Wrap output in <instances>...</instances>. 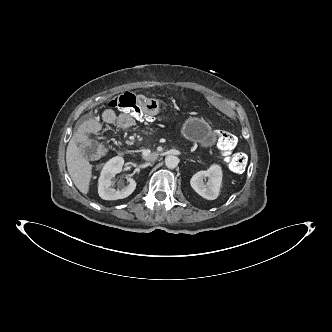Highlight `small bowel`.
I'll list each match as a JSON object with an SVG mask.
<instances>
[{"label": "small bowel", "mask_w": 332, "mask_h": 332, "mask_svg": "<svg viewBox=\"0 0 332 332\" xmlns=\"http://www.w3.org/2000/svg\"><path fill=\"white\" fill-rule=\"evenodd\" d=\"M137 103L146 112L151 113L155 116H160L163 113V108L161 104L156 102L154 99L149 98L148 96L140 95L137 98ZM102 119L106 123L115 122L116 125L122 129H129L135 123L134 118L129 117L127 114L116 115L111 110L106 111L103 114Z\"/></svg>", "instance_id": "c3829d8e"}]
</instances>
